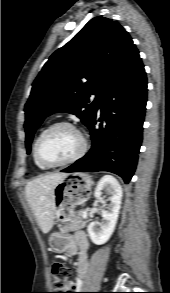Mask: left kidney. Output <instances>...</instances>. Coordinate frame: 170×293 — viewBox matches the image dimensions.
Segmentation results:
<instances>
[{
  "label": "left kidney",
  "mask_w": 170,
  "mask_h": 293,
  "mask_svg": "<svg viewBox=\"0 0 170 293\" xmlns=\"http://www.w3.org/2000/svg\"><path fill=\"white\" fill-rule=\"evenodd\" d=\"M103 191L110 195V204L102 210L103 223L99 224L100 228L95 222H91L87 227L89 237L96 245H102L109 240L114 232L121 208L122 187L116 178L107 175L98 182L94 196L101 202H104L101 197Z\"/></svg>",
  "instance_id": "5707ae66"
}]
</instances>
